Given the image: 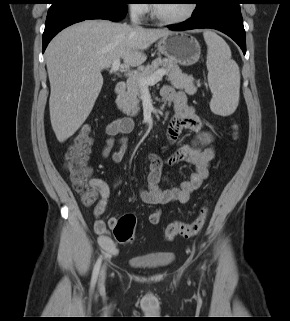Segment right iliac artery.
<instances>
[{"instance_id": "1", "label": "right iliac artery", "mask_w": 290, "mask_h": 321, "mask_svg": "<svg viewBox=\"0 0 290 321\" xmlns=\"http://www.w3.org/2000/svg\"><path fill=\"white\" fill-rule=\"evenodd\" d=\"M101 262H102V257H99V259L97 260L94 269H93V274H92V280H91V286L93 287L96 283L98 274H99V270H100V266H101Z\"/></svg>"}]
</instances>
